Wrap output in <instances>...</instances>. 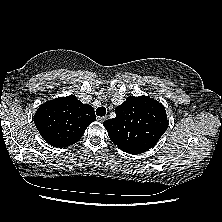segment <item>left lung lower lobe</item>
<instances>
[{
	"label": "left lung lower lobe",
	"instance_id": "0a47b994",
	"mask_svg": "<svg viewBox=\"0 0 222 222\" xmlns=\"http://www.w3.org/2000/svg\"><path fill=\"white\" fill-rule=\"evenodd\" d=\"M125 152L130 153V154H141V153H144L145 151H143V150H126Z\"/></svg>",
	"mask_w": 222,
	"mask_h": 222
}]
</instances>
